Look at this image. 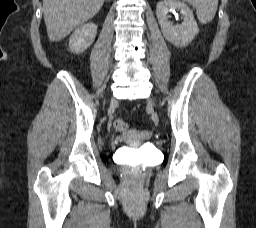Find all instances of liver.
I'll return each mask as SVG.
<instances>
[{"instance_id": "1", "label": "liver", "mask_w": 256, "mask_h": 228, "mask_svg": "<svg viewBox=\"0 0 256 228\" xmlns=\"http://www.w3.org/2000/svg\"><path fill=\"white\" fill-rule=\"evenodd\" d=\"M105 0H43L44 21L52 42L64 39L76 27L93 18Z\"/></svg>"}]
</instances>
